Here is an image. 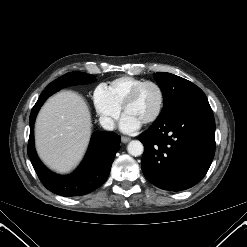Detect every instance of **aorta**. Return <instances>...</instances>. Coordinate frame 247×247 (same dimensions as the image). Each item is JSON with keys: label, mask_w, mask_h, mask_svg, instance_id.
I'll return each mask as SVG.
<instances>
[{"label": "aorta", "mask_w": 247, "mask_h": 247, "mask_svg": "<svg viewBox=\"0 0 247 247\" xmlns=\"http://www.w3.org/2000/svg\"><path fill=\"white\" fill-rule=\"evenodd\" d=\"M143 150V144L138 140H132L127 146L128 153L135 157L140 156L143 153Z\"/></svg>", "instance_id": "1"}]
</instances>
